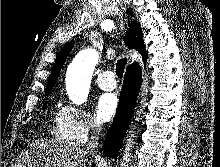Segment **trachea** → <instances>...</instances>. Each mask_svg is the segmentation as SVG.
Here are the masks:
<instances>
[{
  "label": "trachea",
  "instance_id": "3493384b",
  "mask_svg": "<svg viewBox=\"0 0 220 167\" xmlns=\"http://www.w3.org/2000/svg\"><path fill=\"white\" fill-rule=\"evenodd\" d=\"M127 64V59L126 58H121L118 60L116 63V75L122 79L123 77V72L125 69V65Z\"/></svg>",
  "mask_w": 220,
  "mask_h": 167
}]
</instances>
